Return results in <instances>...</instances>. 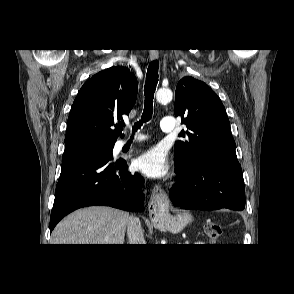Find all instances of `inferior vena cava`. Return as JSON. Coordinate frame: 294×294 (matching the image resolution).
Segmentation results:
<instances>
[{"label":"inferior vena cava","instance_id":"inferior-vena-cava-1","mask_svg":"<svg viewBox=\"0 0 294 294\" xmlns=\"http://www.w3.org/2000/svg\"><path fill=\"white\" fill-rule=\"evenodd\" d=\"M127 235L129 244H145L143 229L139 218L129 216L127 223Z\"/></svg>","mask_w":294,"mask_h":294}]
</instances>
